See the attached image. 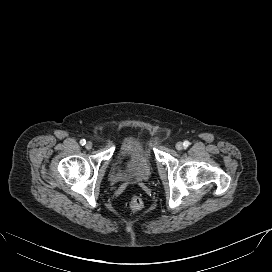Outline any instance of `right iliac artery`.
I'll use <instances>...</instances> for the list:
<instances>
[{
	"instance_id": "1",
	"label": "right iliac artery",
	"mask_w": 272,
	"mask_h": 272,
	"mask_svg": "<svg viewBox=\"0 0 272 272\" xmlns=\"http://www.w3.org/2000/svg\"><path fill=\"white\" fill-rule=\"evenodd\" d=\"M80 144L83 146V145H85L86 144V140L85 139H81L80 140Z\"/></svg>"
}]
</instances>
